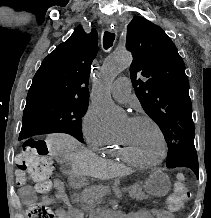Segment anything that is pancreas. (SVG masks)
I'll use <instances>...</instances> for the list:
<instances>
[{
	"instance_id": "obj_1",
	"label": "pancreas",
	"mask_w": 211,
	"mask_h": 218,
	"mask_svg": "<svg viewBox=\"0 0 211 218\" xmlns=\"http://www.w3.org/2000/svg\"><path fill=\"white\" fill-rule=\"evenodd\" d=\"M89 189L79 194L78 200H74V202H82L83 210H91V208H85L84 204H89V206L100 205V200H105V195L108 194L110 188L109 186H90ZM129 196L130 198H136V200H145L147 198L138 184L131 186ZM89 216L93 218L92 212H90Z\"/></svg>"
}]
</instances>
